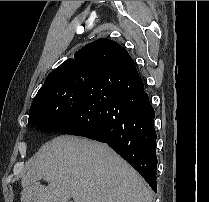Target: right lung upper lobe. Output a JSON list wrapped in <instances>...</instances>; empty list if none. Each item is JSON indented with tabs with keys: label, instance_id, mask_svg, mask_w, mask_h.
<instances>
[{
	"label": "right lung upper lobe",
	"instance_id": "right-lung-upper-lobe-1",
	"mask_svg": "<svg viewBox=\"0 0 209 202\" xmlns=\"http://www.w3.org/2000/svg\"><path fill=\"white\" fill-rule=\"evenodd\" d=\"M131 60L125 48L112 40L101 38L78 50L73 59H67L52 71L44 85L52 78L61 75L85 73L99 77L111 69L126 68ZM29 122L30 120L28 124Z\"/></svg>",
	"mask_w": 209,
	"mask_h": 202
}]
</instances>
